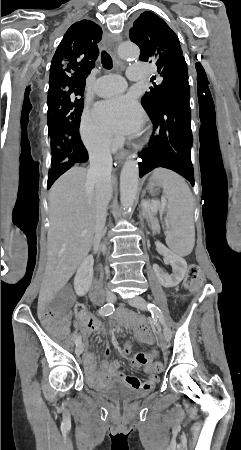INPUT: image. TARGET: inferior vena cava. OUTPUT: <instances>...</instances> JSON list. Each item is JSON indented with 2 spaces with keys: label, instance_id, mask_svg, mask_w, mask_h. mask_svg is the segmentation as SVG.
<instances>
[{
  "label": "inferior vena cava",
  "instance_id": "1",
  "mask_svg": "<svg viewBox=\"0 0 241 450\" xmlns=\"http://www.w3.org/2000/svg\"><path fill=\"white\" fill-rule=\"evenodd\" d=\"M90 168L87 172L86 190L96 192V226L95 240H101L106 224L107 206L112 198V156L110 152V140L105 142L102 150L89 154ZM102 252H106V246L102 244ZM106 276H109V268H105Z\"/></svg>",
  "mask_w": 241,
  "mask_h": 450
}]
</instances>
